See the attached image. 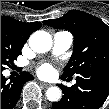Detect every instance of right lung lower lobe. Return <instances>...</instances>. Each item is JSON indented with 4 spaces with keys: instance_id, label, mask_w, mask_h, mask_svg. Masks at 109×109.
<instances>
[{
    "instance_id": "1",
    "label": "right lung lower lobe",
    "mask_w": 109,
    "mask_h": 109,
    "mask_svg": "<svg viewBox=\"0 0 109 109\" xmlns=\"http://www.w3.org/2000/svg\"><path fill=\"white\" fill-rule=\"evenodd\" d=\"M33 76L28 72H21L20 75L7 82L1 70V109H12L21 94L23 84L32 80Z\"/></svg>"
}]
</instances>
